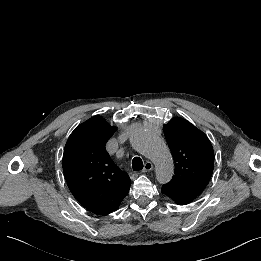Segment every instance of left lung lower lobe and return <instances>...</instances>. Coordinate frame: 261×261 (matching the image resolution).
<instances>
[{
    "instance_id": "obj_1",
    "label": "left lung lower lobe",
    "mask_w": 261,
    "mask_h": 261,
    "mask_svg": "<svg viewBox=\"0 0 261 261\" xmlns=\"http://www.w3.org/2000/svg\"><path fill=\"white\" fill-rule=\"evenodd\" d=\"M161 192L168 197H170L172 200H174L179 205H186L189 204L193 199L191 197L185 196L183 194L176 193L170 189H167L165 187H162Z\"/></svg>"
}]
</instances>
